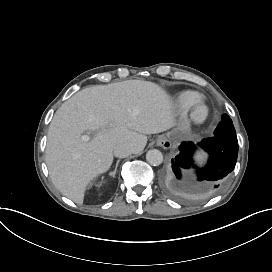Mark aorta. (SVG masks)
Returning a JSON list of instances; mask_svg holds the SVG:
<instances>
[{"instance_id":"obj_1","label":"aorta","mask_w":272,"mask_h":272,"mask_svg":"<svg viewBox=\"0 0 272 272\" xmlns=\"http://www.w3.org/2000/svg\"><path fill=\"white\" fill-rule=\"evenodd\" d=\"M146 160L151 165L157 166L160 165L163 161L162 153L157 149L149 150L146 154Z\"/></svg>"}]
</instances>
